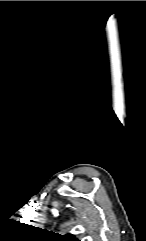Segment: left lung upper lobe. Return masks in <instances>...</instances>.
Wrapping results in <instances>:
<instances>
[{
  "label": "left lung upper lobe",
  "mask_w": 146,
  "mask_h": 241,
  "mask_svg": "<svg viewBox=\"0 0 146 241\" xmlns=\"http://www.w3.org/2000/svg\"><path fill=\"white\" fill-rule=\"evenodd\" d=\"M62 240L63 241H80L79 239L74 238V236L71 234L62 236Z\"/></svg>",
  "instance_id": "5c2ea615"
}]
</instances>
